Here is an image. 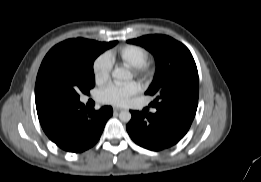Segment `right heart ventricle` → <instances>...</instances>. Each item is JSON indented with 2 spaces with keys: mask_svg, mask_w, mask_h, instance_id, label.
Instances as JSON below:
<instances>
[{
  "mask_svg": "<svg viewBox=\"0 0 261 182\" xmlns=\"http://www.w3.org/2000/svg\"><path fill=\"white\" fill-rule=\"evenodd\" d=\"M116 57L125 66L134 68L148 60L149 52L140 45L128 44L117 50Z\"/></svg>",
  "mask_w": 261,
  "mask_h": 182,
  "instance_id": "1",
  "label": "right heart ventricle"
}]
</instances>
